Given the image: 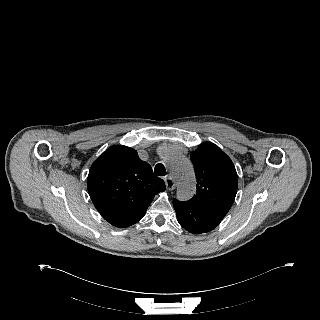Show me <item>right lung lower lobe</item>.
Here are the masks:
<instances>
[{"mask_svg":"<svg viewBox=\"0 0 320 320\" xmlns=\"http://www.w3.org/2000/svg\"><path fill=\"white\" fill-rule=\"evenodd\" d=\"M143 216L144 215L136 217V218H133V219H130V220H127V221L118 222V223H115L113 225L116 226V227H119V228L128 227V226L133 225L136 222H138L140 219H142Z\"/></svg>","mask_w":320,"mask_h":320,"instance_id":"obj_1","label":"right lung lower lobe"}]
</instances>
